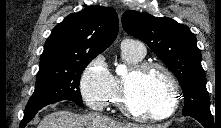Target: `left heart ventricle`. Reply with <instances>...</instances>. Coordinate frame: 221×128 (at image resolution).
Instances as JSON below:
<instances>
[{"label": "left heart ventricle", "mask_w": 221, "mask_h": 128, "mask_svg": "<svg viewBox=\"0 0 221 128\" xmlns=\"http://www.w3.org/2000/svg\"><path fill=\"white\" fill-rule=\"evenodd\" d=\"M129 104L136 112L156 114L169 105L170 86L165 75L158 69L130 79Z\"/></svg>", "instance_id": "obj_1"}]
</instances>
